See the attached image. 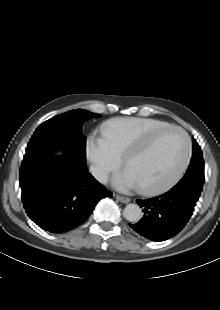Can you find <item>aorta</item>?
I'll list each match as a JSON object with an SVG mask.
<instances>
[{
	"label": "aorta",
	"instance_id": "762f6f07",
	"mask_svg": "<svg viewBox=\"0 0 220 310\" xmlns=\"http://www.w3.org/2000/svg\"><path fill=\"white\" fill-rule=\"evenodd\" d=\"M141 211L138 205L128 204L124 209L125 217L130 221H137L141 216Z\"/></svg>",
	"mask_w": 220,
	"mask_h": 310
}]
</instances>
